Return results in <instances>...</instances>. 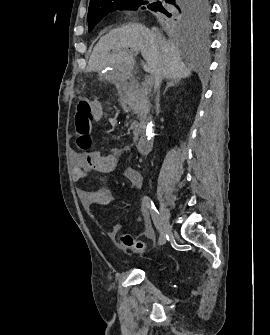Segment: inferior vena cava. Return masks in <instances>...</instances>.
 I'll return each instance as SVG.
<instances>
[{
	"label": "inferior vena cava",
	"mask_w": 270,
	"mask_h": 335,
	"mask_svg": "<svg viewBox=\"0 0 270 335\" xmlns=\"http://www.w3.org/2000/svg\"><path fill=\"white\" fill-rule=\"evenodd\" d=\"M153 30V34H155V36H159V32H158V28H152ZM162 82V76H155V90H157V96H156V106H159V88H160V84Z\"/></svg>",
	"instance_id": "obj_1"
}]
</instances>
